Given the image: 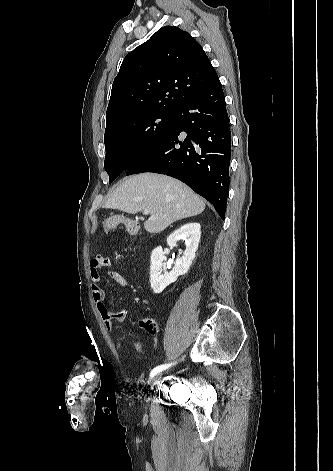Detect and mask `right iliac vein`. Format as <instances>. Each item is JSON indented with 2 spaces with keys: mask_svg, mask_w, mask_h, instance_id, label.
Listing matches in <instances>:
<instances>
[{
  "mask_svg": "<svg viewBox=\"0 0 333 471\" xmlns=\"http://www.w3.org/2000/svg\"><path fill=\"white\" fill-rule=\"evenodd\" d=\"M160 377H161V374H160V373H157V374H155V375H153V376L150 377L148 383H149L150 385H152L153 383L157 382V381L160 379Z\"/></svg>",
  "mask_w": 333,
  "mask_h": 471,
  "instance_id": "obj_1",
  "label": "right iliac vein"
}]
</instances>
